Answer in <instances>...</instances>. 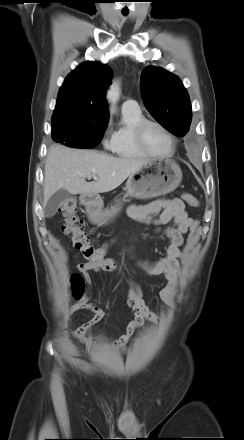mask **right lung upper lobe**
<instances>
[{
    "mask_svg": "<svg viewBox=\"0 0 244 440\" xmlns=\"http://www.w3.org/2000/svg\"><path fill=\"white\" fill-rule=\"evenodd\" d=\"M112 78L113 71L106 64L85 62L80 65L68 75L59 91L52 122H107L105 92Z\"/></svg>",
    "mask_w": 244,
    "mask_h": 440,
    "instance_id": "1",
    "label": "right lung upper lobe"
}]
</instances>
